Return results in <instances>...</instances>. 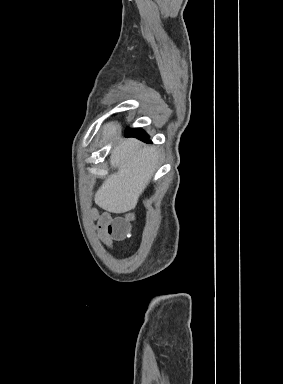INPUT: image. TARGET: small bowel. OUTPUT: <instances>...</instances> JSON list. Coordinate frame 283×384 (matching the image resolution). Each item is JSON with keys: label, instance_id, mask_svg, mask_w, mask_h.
Returning a JSON list of instances; mask_svg holds the SVG:
<instances>
[{"label": "small bowel", "instance_id": "1", "mask_svg": "<svg viewBox=\"0 0 283 384\" xmlns=\"http://www.w3.org/2000/svg\"><path fill=\"white\" fill-rule=\"evenodd\" d=\"M94 217H97V223L95 226V230L97 231L101 240L107 245H112V235L110 234V225L113 222V218L110 214L104 213L99 215L97 212L93 213Z\"/></svg>", "mask_w": 283, "mask_h": 384}]
</instances>
